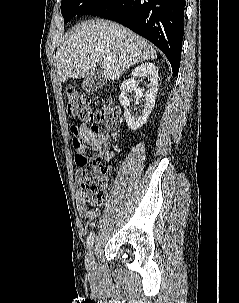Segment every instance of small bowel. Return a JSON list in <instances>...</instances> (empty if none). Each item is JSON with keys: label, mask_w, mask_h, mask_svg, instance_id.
Returning a JSON list of instances; mask_svg holds the SVG:
<instances>
[{"label": "small bowel", "mask_w": 239, "mask_h": 303, "mask_svg": "<svg viewBox=\"0 0 239 303\" xmlns=\"http://www.w3.org/2000/svg\"><path fill=\"white\" fill-rule=\"evenodd\" d=\"M72 146L75 149V162L77 164L76 177L79 180L81 173L85 167L98 159H111L113 153L109 147V138L107 133L96 125L72 126ZM88 151H92L91 156L87 155ZM76 204L78 214L81 218L93 223L99 215L97 208L88 207L81 192H77Z\"/></svg>", "instance_id": "c3829d8e"}]
</instances>
